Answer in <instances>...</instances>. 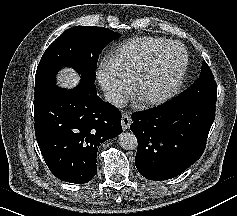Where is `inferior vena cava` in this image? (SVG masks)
I'll list each match as a JSON object with an SVG mask.
<instances>
[{"instance_id": "602c4592", "label": "inferior vena cava", "mask_w": 237, "mask_h": 216, "mask_svg": "<svg viewBox=\"0 0 237 216\" xmlns=\"http://www.w3.org/2000/svg\"><path fill=\"white\" fill-rule=\"evenodd\" d=\"M103 98L105 102H108L117 108H124L128 103L127 99L122 94L113 90L103 91Z\"/></svg>"}]
</instances>
